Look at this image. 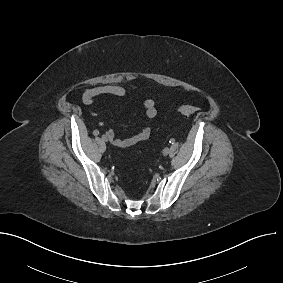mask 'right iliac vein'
Segmentation results:
<instances>
[{
	"instance_id": "63e3f726",
	"label": "right iliac vein",
	"mask_w": 283,
	"mask_h": 283,
	"mask_svg": "<svg viewBox=\"0 0 283 283\" xmlns=\"http://www.w3.org/2000/svg\"><path fill=\"white\" fill-rule=\"evenodd\" d=\"M105 142H107L108 141V138H107V136H104V138H102Z\"/></svg>"
}]
</instances>
